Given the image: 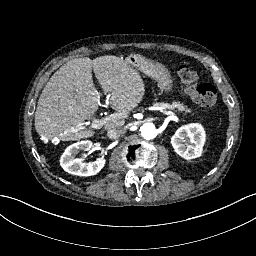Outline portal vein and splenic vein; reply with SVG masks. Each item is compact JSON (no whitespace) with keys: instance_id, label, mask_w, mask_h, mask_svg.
Wrapping results in <instances>:
<instances>
[{"instance_id":"18ae733b","label":"portal vein and splenic vein","mask_w":256,"mask_h":256,"mask_svg":"<svg viewBox=\"0 0 256 256\" xmlns=\"http://www.w3.org/2000/svg\"><path fill=\"white\" fill-rule=\"evenodd\" d=\"M160 111L163 112L165 115H170V117L174 116L173 113L170 110H167L166 107H160ZM124 117H125V113H123V112L113 113V114L106 116L105 118H102V119H94L92 121L91 127L94 129H100L108 121L118 120V119H122ZM80 129H83V127H81Z\"/></svg>"}]
</instances>
